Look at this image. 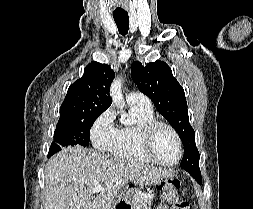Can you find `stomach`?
<instances>
[{
    "instance_id": "0dacf381",
    "label": "stomach",
    "mask_w": 253,
    "mask_h": 209,
    "mask_svg": "<svg viewBox=\"0 0 253 209\" xmlns=\"http://www.w3.org/2000/svg\"><path fill=\"white\" fill-rule=\"evenodd\" d=\"M118 196H115V202L111 209H135L132 206V190H146V186H157L155 192H166L168 188V179L163 178L157 181H121Z\"/></svg>"
}]
</instances>
